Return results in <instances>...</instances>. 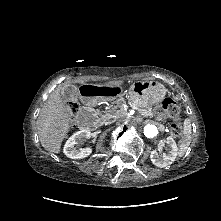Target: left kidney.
<instances>
[{
	"label": "left kidney",
	"instance_id": "1",
	"mask_svg": "<svg viewBox=\"0 0 221 221\" xmlns=\"http://www.w3.org/2000/svg\"><path fill=\"white\" fill-rule=\"evenodd\" d=\"M165 142L168 145L167 153H164L163 156L160 157L157 151L153 150L150 155L151 162L157 167H167L171 165L178 155V148L175 140L172 137H167L165 141H162V144Z\"/></svg>",
	"mask_w": 221,
	"mask_h": 221
}]
</instances>
